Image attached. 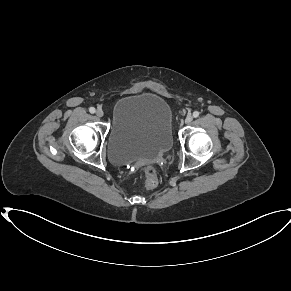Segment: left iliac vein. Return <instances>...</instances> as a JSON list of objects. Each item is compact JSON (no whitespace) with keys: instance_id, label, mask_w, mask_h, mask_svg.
I'll return each instance as SVG.
<instances>
[{"instance_id":"obj_1","label":"left iliac vein","mask_w":291,"mask_h":291,"mask_svg":"<svg viewBox=\"0 0 291 291\" xmlns=\"http://www.w3.org/2000/svg\"><path fill=\"white\" fill-rule=\"evenodd\" d=\"M192 120H193L192 115H188V116L186 117V119H185V123H186V124H189V123L192 122Z\"/></svg>"}]
</instances>
